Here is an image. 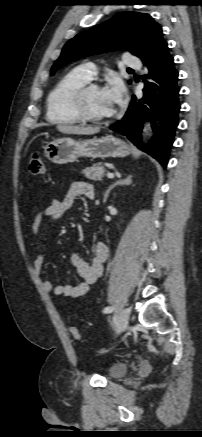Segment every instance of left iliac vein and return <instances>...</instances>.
<instances>
[{
    "label": "left iliac vein",
    "instance_id": "4c4485c4",
    "mask_svg": "<svg viewBox=\"0 0 202 437\" xmlns=\"http://www.w3.org/2000/svg\"><path fill=\"white\" fill-rule=\"evenodd\" d=\"M129 316H130L129 308H125L121 311L116 322V328H115L116 334H120L126 330V328L128 327Z\"/></svg>",
    "mask_w": 202,
    "mask_h": 437
}]
</instances>
